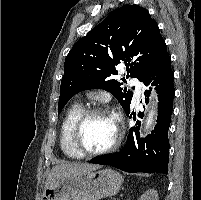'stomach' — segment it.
Segmentation results:
<instances>
[{"mask_svg":"<svg viewBox=\"0 0 201 200\" xmlns=\"http://www.w3.org/2000/svg\"><path fill=\"white\" fill-rule=\"evenodd\" d=\"M122 182V176L109 168L73 173L51 183L41 200H99L115 195Z\"/></svg>","mask_w":201,"mask_h":200,"instance_id":"stomach-1","label":"stomach"}]
</instances>
